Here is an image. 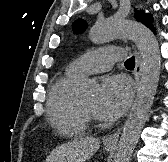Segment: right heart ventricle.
Instances as JSON below:
<instances>
[{"instance_id":"right-heart-ventricle-1","label":"right heart ventricle","mask_w":168,"mask_h":162,"mask_svg":"<svg viewBox=\"0 0 168 162\" xmlns=\"http://www.w3.org/2000/svg\"><path fill=\"white\" fill-rule=\"evenodd\" d=\"M80 76L69 68L58 75L49 91L47 114L51 125L62 135L76 137L88 130V119L80 108L75 87Z\"/></svg>"}]
</instances>
